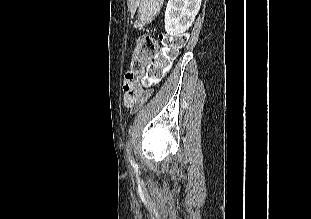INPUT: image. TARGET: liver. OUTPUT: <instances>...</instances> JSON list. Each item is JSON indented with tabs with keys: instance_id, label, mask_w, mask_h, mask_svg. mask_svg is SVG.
<instances>
[{
	"instance_id": "obj_1",
	"label": "liver",
	"mask_w": 311,
	"mask_h": 219,
	"mask_svg": "<svg viewBox=\"0 0 311 219\" xmlns=\"http://www.w3.org/2000/svg\"><path fill=\"white\" fill-rule=\"evenodd\" d=\"M130 2H138L139 0H129Z\"/></svg>"
}]
</instances>
